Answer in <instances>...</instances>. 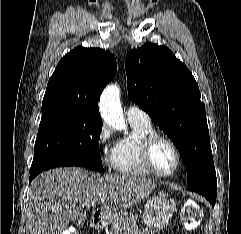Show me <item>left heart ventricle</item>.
<instances>
[{
    "label": "left heart ventricle",
    "instance_id": "obj_1",
    "mask_svg": "<svg viewBox=\"0 0 241 234\" xmlns=\"http://www.w3.org/2000/svg\"><path fill=\"white\" fill-rule=\"evenodd\" d=\"M153 161L158 170L168 173L175 167L176 155L168 143L159 141L153 149Z\"/></svg>",
    "mask_w": 241,
    "mask_h": 234
}]
</instances>
